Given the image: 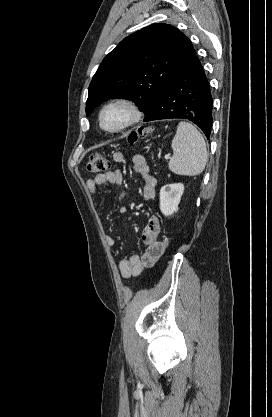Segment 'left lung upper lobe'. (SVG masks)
Returning a JSON list of instances; mask_svg holds the SVG:
<instances>
[{
  "instance_id": "5c2ea615",
  "label": "left lung upper lobe",
  "mask_w": 272,
  "mask_h": 417,
  "mask_svg": "<svg viewBox=\"0 0 272 417\" xmlns=\"http://www.w3.org/2000/svg\"><path fill=\"white\" fill-rule=\"evenodd\" d=\"M191 41L168 24L124 38L102 61L89 85L86 115L103 101L129 97L147 116L178 71L195 56Z\"/></svg>"
}]
</instances>
